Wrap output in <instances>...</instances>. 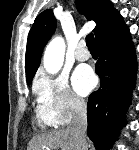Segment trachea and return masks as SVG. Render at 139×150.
<instances>
[{"label": "trachea", "mask_w": 139, "mask_h": 150, "mask_svg": "<svg viewBox=\"0 0 139 150\" xmlns=\"http://www.w3.org/2000/svg\"><path fill=\"white\" fill-rule=\"evenodd\" d=\"M86 45L88 49H96L95 39L92 33L86 36Z\"/></svg>", "instance_id": "3493384b"}]
</instances>
